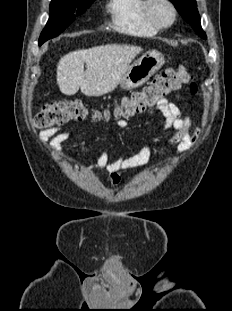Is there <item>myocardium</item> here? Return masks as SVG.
Here are the masks:
<instances>
[{"mask_svg": "<svg viewBox=\"0 0 232 311\" xmlns=\"http://www.w3.org/2000/svg\"><path fill=\"white\" fill-rule=\"evenodd\" d=\"M156 3H164L169 7L171 11V20L168 23H160L153 18L152 7ZM143 15L146 21L150 25L161 30V29H167L175 23L176 18H177V10L174 4L170 0H145L144 5H143Z\"/></svg>", "mask_w": 232, "mask_h": 311, "instance_id": "myocardium-1", "label": "myocardium"}]
</instances>
